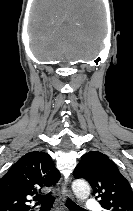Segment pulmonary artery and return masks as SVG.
Here are the masks:
<instances>
[{"instance_id":"e3ab8cb5","label":"pulmonary artery","mask_w":133,"mask_h":211,"mask_svg":"<svg viewBox=\"0 0 133 211\" xmlns=\"http://www.w3.org/2000/svg\"><path fill=\"white\" fill-rule=\"evenodd\" d=\"M86 207L93 211H101L99 203L94 199H88L86 201Z\"/></svg>"}]
</instances>
